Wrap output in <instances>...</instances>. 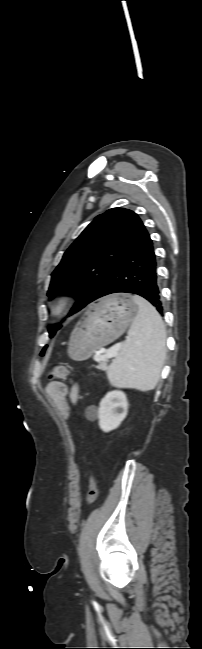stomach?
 I'll return each instance as SVG.
<instances>
[{"label":"stomach","instance_id":"1","mask_svg":"<svg viewBox=\"0 0 202 649\" xmlns=\"http://www.w3.org/2000/svg\"><path fill=\"white\" fill-rule=\"evenodd\" d=\"M137 314L138 306L130 294L120 293L101 299L72 331L69 357L74 360L90 358L96 350L118 338Z\"/></svg>","mask_w":202,"mask_h":649}]
</instances>
